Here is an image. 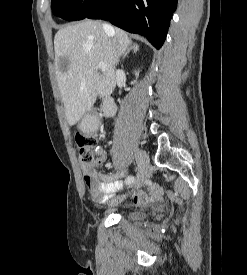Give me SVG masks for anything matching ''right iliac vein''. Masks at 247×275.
<instances>
[{
	"label": "right iliac vein",
	"mask_w": 247,
	"mask_h": 275,
	"mask_svg": "<svg viewBox=\"0 0 247 275\" xmlns=\"http://www.w3.org/2000/svg\"><path fill=\"white\" fill-rule=\"evenodd\" d=\"M137 164H138V173L136 181L133 185L134 188H139L146 181V179L150 175L149 168V158L148 155L144 151H138L137 153ZM125 196L118 197L117 199L112 200L113 204H116L123 200Z\"/></svg>",
	"instance_id": "right-iliac-vein-1"
}]
</instances>
